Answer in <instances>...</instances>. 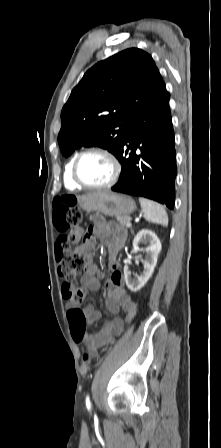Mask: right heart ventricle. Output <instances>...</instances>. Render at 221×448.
Masks as SVG:
<instances>
[{
	"instance_id": "e07e8e85",
	"label": "right heart ventricle",
	"mask_w": 221,
	"mask_h": 448,
	"mask_svg": "<svg viewBox=\"0 0 221 448\" xmlns=\"http://www.w3.org/2000/svg\"><path fill=\"white\" fill-rule=\"evenodd\" d=\"M78 156V153H75L68 161V163L65 166L64 169V174H63V181H64V185L67 189L69 190H76L81 188V186L77 185L71 176V170H72V165L74 160L76 159V157Z\"/></svg>"
}]
</instances>
